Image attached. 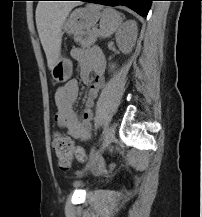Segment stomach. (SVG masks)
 Listing matches in <instances>:
<instances>
[{
  "label": "stomach",
  "instance_id": "0dacf381",
  "mask_svg": "<svg viewBox=\"0 0 202 217\" xmlns=\"http://www.w3.org/2000/svg\"><path fill=\"white\" fill-rule=\"evenodd\" d=\"M100 18L98 9L91 6L77 8L64 22L62 28L68 34L78 33L93 28ZM52 77L57 82H65L72 75V63L65 56L59 55L51 70Z\"/></svg>",
  "mask_w": 202,
  "mask_h": 217
}]
</instances>
